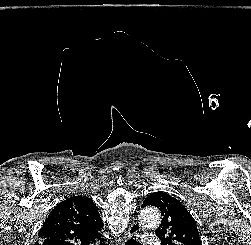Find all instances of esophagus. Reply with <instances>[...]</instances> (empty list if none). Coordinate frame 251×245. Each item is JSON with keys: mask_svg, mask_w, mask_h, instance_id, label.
Wrapping results in <instances>:
<instances>
[{"mask_svg": "<svg viewBox=\"0 0 251 245\" xmlns=\"http://www.w3.org/2000/svg\"><path fill=\"white\" fill-rule=\"evenodd\" d=\"M140 230H141V227L138 223H132L128 228L127 237L125 236L124 238L119 239V245H124L123 243L124 241H126L127 238L137 236Z\"/></svg>", "mask_w": 251, "mask_h": 245, "instance_id": "esophagus-1", "label": "esophagus"}]
</instances>
